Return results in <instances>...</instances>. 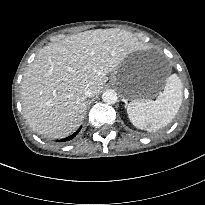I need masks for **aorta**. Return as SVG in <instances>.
<instances>
[{
  "label": "aorta",
  "instance_id": "1",
  "mask_svg": "<svg viewBox=\"0 0 205 205\" xmlns=\"http://www.w3.org/2000/svg\"><path fill=\"white\" fill-rule=\"evenodd\" d=\"M102 99L107 104H115L118 99L117 93L112 89H108L103 92Z\"/></svg>",
  "mask_w": 205,
  "mask_h": 205
}]
</instances>
